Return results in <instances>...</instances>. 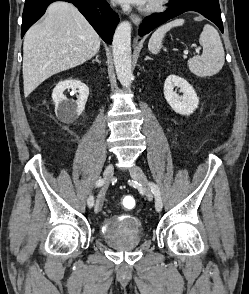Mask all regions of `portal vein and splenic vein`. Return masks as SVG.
Instances as JSON below:
<instances>
[{"instance_id": "obj_1", "label": "portal vein and splenic vein", "mask_w": 249, "mask_h": 294, "mask_svg": "<svg viewBox=\"0 0 249 294\" xmlns=\"http://www.w3.org/2000/svg\"><path fill=\"white\" fill-rule=\"evenodd\" d=\"M196 52H198V51L196 50ZM184 54L187 55L188 54V51H184Z\"/></svg>"}]
</instances>
